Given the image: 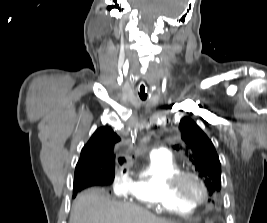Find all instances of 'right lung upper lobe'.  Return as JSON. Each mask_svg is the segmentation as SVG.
I'll list each match as a JSON object with an SVG mask.
<instances>
[{
	"label": "right lung upper lobe",
	"mask_w": 267,
	"mask_h": 223,
	"mask_svg": "<svg viewBox=\"0 0 267 223\" xmlns=\"http://www.w3.org/2000/svg\"><path fill=\"white\" fill-rule=\"evenodd\" d=\"M120 138L109 127H102L95 131L88 143L81 151L76 165L75 177L82 175H104L106 169L115 167V157L112 148ZM118 162L122 164L123 159Z\"/></svg>",
	"instance_id": "obj_1"
}]
</instances>
